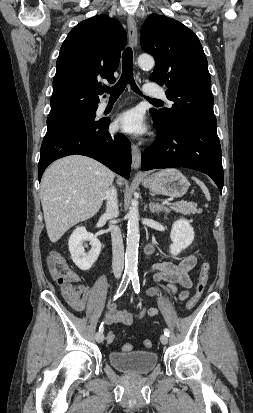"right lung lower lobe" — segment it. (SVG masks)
Returning <instances> with one entry per match:
<instances>
[{"label": "right lung lower lobe", "mask_w": 253, "mask_h": 413, "mask_svg": "<svg viewBox=\"0 0 253 413\" xmlns=\"http://www.w3.org/2000/svg\"><path fill=\"white\" fill-rule=\"evenodd\" d=\"M110 121L90 126H73L46 133L40 151L38 178L54 160L68 155H85L98 160L114 172L129 179L131 145L121 133L111 136Z\"/></svg>", "instance_id": "right-lung-lower-lobe-1"}]
</instances>
